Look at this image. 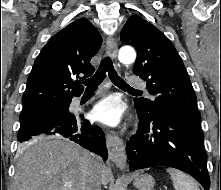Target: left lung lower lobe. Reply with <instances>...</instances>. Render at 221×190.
Masks as SVG:
<instances>
[{"mask_svg": "<svg viewBox=\"0 0 221 190\" xmlns=\"http://www.w3.org/2000/svg\"><path fill=\"white\" fill-rule=\"evenodd\" d=\"M137 109L138 132L127 143L130 171L168 166L193 176L205 190L210 177L201 127L172 115H148Z\"/></svg>", "mask_w": 221, "mask_h": 190, "instance_id": "obj_1", "label": "left lung lower lobe"}]
</instances>
